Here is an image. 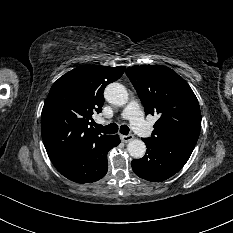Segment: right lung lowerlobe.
<instances>
[{"label":"right lung lower lobe","mask_w":233,"mask_h":233,"mask_svg":"<svg viewBox=\"0 0 233 233\" xmlns=\"http://www.w3.org/2000/svg\"><path fill=\"white\" fill-rule=\"evenodd\" d=\"M121 142L118 135H111L93 147H86L72 154L51 160L55 168L76 183L95 182L108 170L107 153Z\"/></svg>","instance_id":"98d812e1"}]
</instances>
